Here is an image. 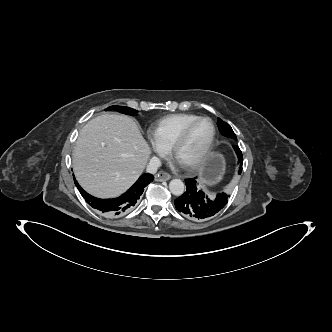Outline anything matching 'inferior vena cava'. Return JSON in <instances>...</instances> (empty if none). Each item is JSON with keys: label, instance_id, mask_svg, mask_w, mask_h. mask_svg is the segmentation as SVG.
I'll return each mask as SVG.
<instances>
[{"label": "inferior vena cava", "instance_id": "1", "mask_svg": "<svg viewBox=\"0 0 332 332\" xmlns=\"http://www.w3.org/2000/svg\"><path fill=\"white\" fill-rule=\"evenodd\" d=\"M161 166V161L158 157H152L147 165V172L155 174Z\"/></svg>", "mask_w": 332, "mask_h": 332}]
</instances>
